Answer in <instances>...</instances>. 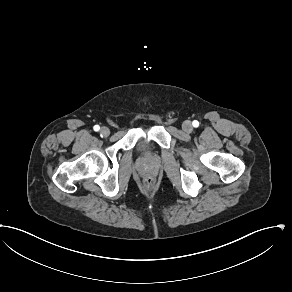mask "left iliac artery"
Here are the masks:
<instances>
[{
  "mask_svg": "<svg viewBox=\"0 0 292 292\" xmlns=\"http://www.w3.org/2000/svg\"><path fill=\"white\" fill-rule=\"evenodd\" d=\"M192 124H193L194 127H198L199 126V122L197 120H194Z\"/></svg>",
  "mask_w": 292,
  "mask_h": 292,
  "instance_id": "44dca946",
  "label": "left iliac artery"
}]
</instances>
